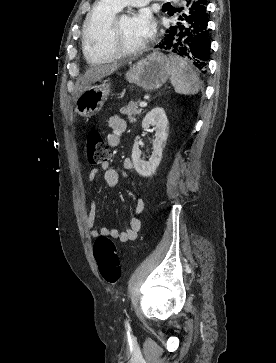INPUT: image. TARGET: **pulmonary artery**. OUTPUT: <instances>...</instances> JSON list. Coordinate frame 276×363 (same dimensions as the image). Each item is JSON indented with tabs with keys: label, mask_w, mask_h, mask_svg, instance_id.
<instances>
[{
	"label": "pulmonary artery",
	"mask_w": 276,
	"mask_h": 363,
	"mask_svg": "<svg viewBox=\"0 0 276 363\" xmlns=\"http://www.w3.org/2000/svg\"><path fill=\"white\" fill-rule=\"evenodd\" d=\"M111 1L116 3L119 7H124V6H143L152 0H111ZM157 1H166V0H157Z\"/></svg>",
	"instance_id": "obj_1"
}]
</instances>
